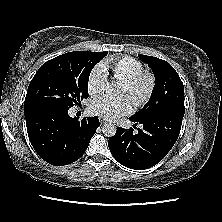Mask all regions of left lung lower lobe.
<instances>
[{
  "label": "left lung lower lobe",
  "instance_id": "1",
  "mask_svg": "<svg viewBox=\"0 0 222 222\" xmlns=\"http://www.w3.org/2000/svg\"><path fill=\"white\" fill-rule=\"evenodd\" d=\"M183 116V112L168 110L141 120L129 118L135 126L142 124L143 128H138L137 134H133L132 128H118L116 134L108 141L113 157L131 169L143 170L153 167L175 144Z\"/></svg>",
  "mask_w": 222,
  "mask_h": 222
}]
</instances>
